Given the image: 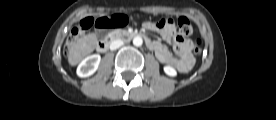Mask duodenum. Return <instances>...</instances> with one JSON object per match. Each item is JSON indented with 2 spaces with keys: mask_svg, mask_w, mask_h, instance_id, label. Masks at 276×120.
Listing matches in <instances>:
<instances>
[{
  "mask_svg": "<svg viewBox=\"0 0 276 120\" xmlns=\"http://www.w3.org/2000/svg\"><path fill=\"white\" fill-rule=\"evenodd\" d=\"M137 37H143L146 40V43L147 44L149 43L148 38H146L143 34L116 32L111 34L108 38L99 41L97 43V50L100 52H106L113 41H116L118 39L126 40V39H132Z\"/></svg>",
  "mask_w": 276,
  "mask_h": 120,
  "instance_id": "duodenum-1",
  "label": "duodenum"
}]
</instances>
